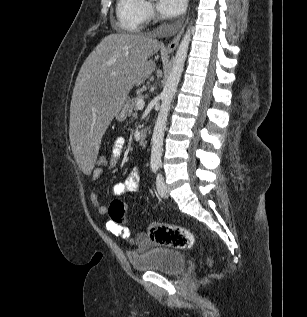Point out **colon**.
<instances>
[{
    "label": "colon",
    "mask_w": 307,
    "mask_h": 317,
    "mask_svg": "<svg viewBox=\"0 0 307 317\" xmlns=\"http://www.w3.org/2000/svg\"><path fill=\"white\" fill-rule=\"evenodd\" d=\"M108 161L106 156L99 154L96 159V168H106ZM108 213L111 220L118 225L126 221V206L119 199L111 202ZM148 235L151 242L156 245L176 249H190L194 246L191 232L177 225L151 223L148 226Z\"/></svg>",
    "instance_id": "1"
}]
</instances>
